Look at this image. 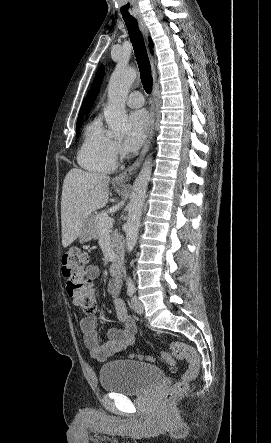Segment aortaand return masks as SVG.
Returning <instances> with one entry per match:
<instances>
[{
  "label": "aorta",
  "instance_id": "762f6f07",
  "mask_svg": "<svg viewBox=\"0 0 271 443\" xmlns=\"http://www.w3.org/2000/svg\"><path fill=\"white\" fill-rule=\"evenodd\" d=\"M137 76L134 68L128 66H116L108 84V102L104 110L106 124L112 132H129L131 124L125 110L126 98ZM153 168L152 158L145 160L141 172H139L131 192L130 204H128V218L126 222V245L127 251H132L136 245L139 233V225L142 216L148 184L151 180ZM132 283L131 277L127 279Z\"/></svg>",
  "mask_w": 271,
  "mask_h": 443
}]
</instances>
